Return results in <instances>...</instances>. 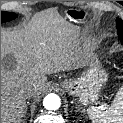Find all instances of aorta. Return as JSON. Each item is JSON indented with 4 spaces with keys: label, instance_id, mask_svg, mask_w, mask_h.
I'll use <instances>...</instances> for the list:
<instances>
[{
    "label": "aorta",
    "instance_id": "762f6f07",
    "mask_svg": "<svg viewBox=\"0 0 123 123\" xmlns=\"http://www.w3.org/2000/svg\"><path fill=\"white\" fill-rule=\"evenodd\" d=\"M61 105L60 97L55 93L46 95L43 99V106L47 110H57Z\"/></svg>",
    "mask_w": 123,
    "mask_h": 123
}]
</instances>
